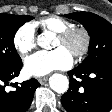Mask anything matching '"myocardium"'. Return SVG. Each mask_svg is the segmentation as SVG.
<instances>
[{
    "mask_svg": "<svg viewBox=\"0 0 112 112\" xmlns=\"http://www.w3.org/2000/svg\"><path fill=\"white\" fill-rule=\"evenodd\" d=\"M57 38L64 44L70 43L76 38H80L82 43L73 53V55L77 58L86 55L91 46L90 32L84 27H73L65 32L57 34Z\"/></svg>",
    "mask_w": 112,
    "mask_h": 112,
    "instance_id": "obj_1",
    "label": "myocardium"
}]
</instances>
